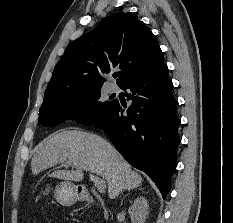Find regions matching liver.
Returning a JSON list of instances; mask_svg holds the SVG:
<instances>
[{
    "mask_svg": "<svg viewBox=\"0 0 233 223\" xmlns=\"http://www.w3.org/2000/svg\"><path fill=\"white\" fill-rule=\"evenodd\" d=\"M58 163L71 169H56L51 177L64 181H83L84 171L96 173L106 179L107 195L115 199L123 189H134L142 183L137 171L123 159L119 151L96 133L79 131V127H66L38 143L31 161V171L37 175Z\"/></svg>",
    "mask_w": 233,
    "mask_h": 223,
    "instance_id": "obj_1",
    "label": "liver"
}]
</instances>
